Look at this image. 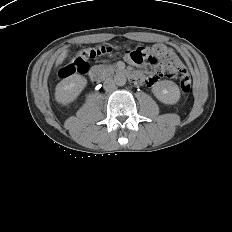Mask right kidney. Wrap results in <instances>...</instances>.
Segmentation results:
<instances>
[{
	"label": "right kidney",
	"instance_id": "right-kidney-1",
	"mask_svg": "<svg viewBox=\"0 0 232 232\" xmlns=\"http://www.w3.org/2000/svg\"><path fill=\"white\" fill-rule=\"evenodd\" d=\"M86 82L84 77L77 74L63 79L56 86V101L63 105L73 102L85 87Z\"/></svg>",
	"mask_w": 232,
	"mask_h": 232
}]
</instances>
